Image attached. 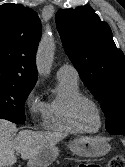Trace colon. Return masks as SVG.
I'll return each instance as SVG.
<instances>
[{
    "mask_svg": "<svg viewBox=\"0 0 125 167\" xmlns=\"http://www.w3.org/2000/svg\"><path fill=\"white\" fill-rule=\"evenodd\" d=\"M80 167H99L98 165H81ZM108 167H125V157L122 155H116L112 157L109 161Z\"/></svg>",
    "mask_w": 125,
    "mask_h": 167,
    "instance_id": "colon-1",
    "label": "colon"
}]
</instances>
